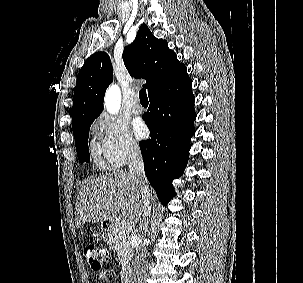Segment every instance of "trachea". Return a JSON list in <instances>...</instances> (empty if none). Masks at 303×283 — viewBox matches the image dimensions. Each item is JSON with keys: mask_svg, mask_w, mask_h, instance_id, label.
Returning <instances> with one entry per match:
<instances>
[{"mask_svg": "<svg viewBox=\"0 0 303 283\" xmlns=\"http://www.w3.org/2000/svg\"><path fill=\"white\" fill-rule=\"evenodd\" d=\"M139 98H140V101H148L145 89H141L140 90V92H139Z\"/></svg>", "mask_w": 303, "mask_h": 283, "instance_id": "trachea-1", "label": "trachea"}]
</instances>
